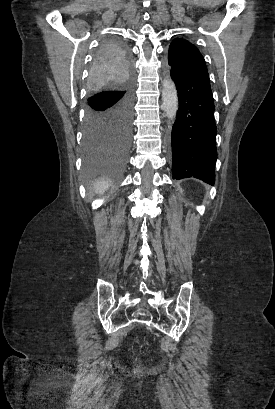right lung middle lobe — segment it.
I'll use <instances>...</instances> for the list:
<instances>
[{
  "label": "right lung middle lobe",
  "mask_w": 275,
  "mask_h": 409,
  "mask_svg": "<svg viewBox=\"0 0 275 409\" xmlns=\"http://www.w3.org/2000/svg\"><path fill=\"white\" fill-rule=\"evenodd\" d=\"M133 50L118 38L106 37L94 53L87 81L82 155L83 182L103 173L120 177L131 146L133 105ZM92 188H114V183H92Z\"/></svg>",
  "instance_id": "1"
}]
</instances>
